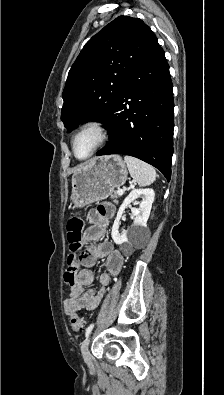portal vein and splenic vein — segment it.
<instances>
[{
    "label": "portal vein and splenic vein",
    "mask_w": 224,
    "mask_h": 395,
    "mask_svg": "<svg viewBox=\"0 0 224 395\" xmlns=\"http://www.w3.org/2000/svg\"><path fill=\"white\" fill-rule=\"evenodd\" d=\"M117 193L118 195H123L124 191L122 189H119Z\"/></svg>",
    "instance_id": "portal-vein-and-splenic-vein-1"
}]
</instances>
